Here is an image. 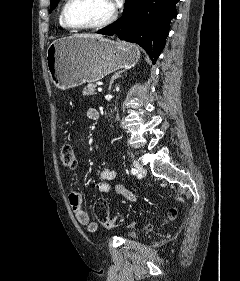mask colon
Segmentation results:
<instances>
[{
    "instance_id": "5ec220e1",
    "label": "colon",
    "mask_w": 240,
    "mask_h": 281,
    "mask_svg": "<svg viewBox=\"0 0 240 281\" xmlns=\"http://www.w3.org/2000/svg\"><path fill=\"white\" fill-rule=\"evenodd\" d=\"M60 163L64 168L75 169L77 166V156L70 144H64L60 151ZM96 219L108 228H113L121 223L118 216L111 217L109 214L108 204L104 199L97 200L92 207ZM176 215L175 209H170L169 219H173Z\"/></svg>"
}]
</instances>
